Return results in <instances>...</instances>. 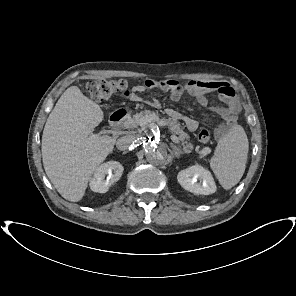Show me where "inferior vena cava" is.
<instances>
[{"label":"inferior vena cava","mask_w":296,"mask_h":296,"mask_svg":"<svg viewBox=\"0 0 296 296\" xmlns=\"http://www.w3.org/2000/svg\"><path fill=\"white\" fill-rule=\"evenodd\" d=\"M135 141V137L134 136H131V135H128V136H123L121 138H119L116 142V147L123 151V150H126L128 149L130 146H132V144L134 143Z\"/></svg>","instance_id":"602c4592"}]
</instances>
